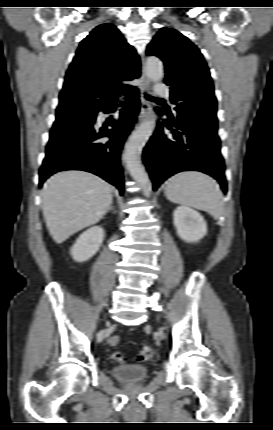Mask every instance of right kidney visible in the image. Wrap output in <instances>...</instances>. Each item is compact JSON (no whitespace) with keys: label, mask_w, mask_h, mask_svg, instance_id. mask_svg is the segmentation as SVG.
Listing matches in <instances>:
<instances>
[{"label":"right kidney","mask_w":273,"mask_h":430,"mask_svg":"<svg viewBox=\"0 0 273 430\" xmlns=\"http://www.w3.org/2000/svg\"><path fill=\"white\" fill-rule=\"evenodd\" d=\"M104 238V230L93 226L82 233L71 248V256L77 262H84L93 257L99 250Z\"/></svg>","instance_id":"ca27d5eb"}]
</instances>
